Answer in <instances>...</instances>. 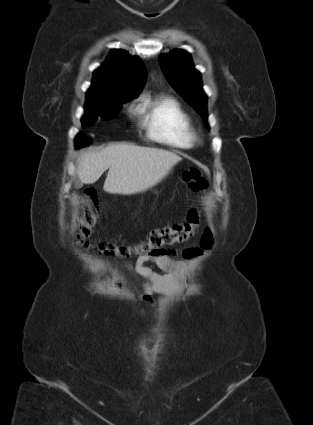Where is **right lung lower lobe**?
Masks as SVG:
<instances>
[{"label": "right lung lower lobe", "mask_w": 313, "mask_h": 425, "mask_svg": "<svg viewBox=\"0 0 313 425\" xmlns=\"http://www.w3.org/2000/svg\"><path fill=\"white\" fill-rule=\"evenodd\" d=\"M88 143H90L89 141H88V139L85 137V136H83V135H81Z\"/></svg>", "instance_id": "right-lung-lower-lobe-1"}]
</instances>
